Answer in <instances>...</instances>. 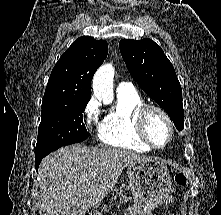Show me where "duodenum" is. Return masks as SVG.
I'll use <instances>...</instances> for the list:
<instances>
[{"instance_id": "1", "label": "duodenum", "mask_w": 221, "mask_h": 215, "mask_svg": "<svg viewBox=\"0 0 221 215\" xmlns=\"http://www.w3.org/2000/svg\"><path fill=\"white\" fill-rule=\"evenodd\" d=\"M84 215H94L93 211L89 210L86 213H84Z\"/></svg>"}]
</instances>
